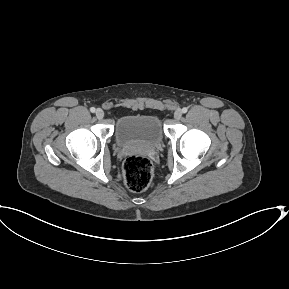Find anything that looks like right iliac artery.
I'll use <instances>...</instances> for the list:
<instances>
[{
  "label": "right iliac artery",
  "instance_id": "obj_1",
  "mask_svg": "<svg viewBox=\"0 0 289 289\" xmlns=\"http://www.w3.org/2000/svg\"><path fill=\"white\" fill-rule=\"evenodd\" d=\"M90 111H91L92 113H94V112L96 111V109H95L94 107H91V108H90Z\"/></svg>",
  "mask_w": 289,
  "mask_h": 289
}]
</instances>
